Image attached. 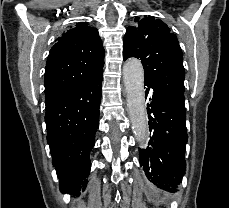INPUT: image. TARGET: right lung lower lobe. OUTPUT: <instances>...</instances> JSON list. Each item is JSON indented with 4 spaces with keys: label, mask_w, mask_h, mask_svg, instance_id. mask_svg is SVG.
<instances>
[{
    "label": "right lung lower lobe",
    "mask_w": 229,
    "mask_h": 208,
    "mask_svg": "<svg viewBox=\"0 0 229 208\" xmlns=\"http://www.w3.org/2000/svg\"><path fill=\"white\" fill-rule=\"evenodd\" d=\"M103 69L46 104L47 142L60 190L79 196L87 184L90 151L99 127Z\"/></svg>",
    "instance_id": "1"
}]
</instances>
